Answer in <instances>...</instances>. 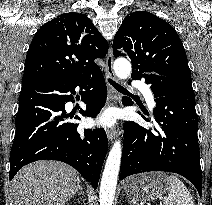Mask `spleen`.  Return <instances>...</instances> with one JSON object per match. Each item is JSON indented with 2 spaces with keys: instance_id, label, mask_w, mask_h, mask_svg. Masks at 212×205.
<instances>
[{
  "instance_id": "1",
  "label": "spleen",
  "mask_w": 212,
  "mask_h": 205,
  "mask_svg": "<svg viewBox=\"0 0 212 205\" xmlns=\"http://www.w3.org/2000/svg\"><path fill=\"white\" fill-rule=\"evenodd\" d=\"M168 196L164 198V205H194V200L184 183L174 175L168 178Z\"/></svg>"
}]
</instances>
